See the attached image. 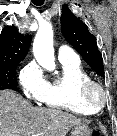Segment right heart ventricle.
<instances>
[{"label":"right heart ventricle","mask_w":117,"mask_h":136,"mask_svg":"<svg viewBox=\"0 0 117 136\" xmlns=\"http://www.w3.org/2000/svg\"><path fill=\"white\" fill-rule=\"evenodd\" d=\"M61 65L62 74L47 83V89L42 100L43 104L82 116L97 113V110L88 107L80 99V85L90 79L80 62L64 61L61 62Z\"/></svg>","instance_id":"obj_1"}]
</instances>
